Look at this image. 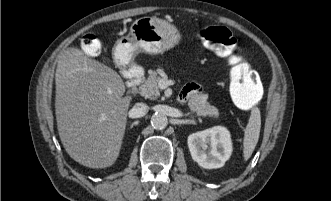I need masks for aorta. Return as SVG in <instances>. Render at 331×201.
<instances>
[{
    "mask_svg": "<svg viewBox=\"0 0 331 201\" xmlns=\"http://www.w3.org/2000/svg\"><path fill=\"white\" fill-rule=\"evenodd\" d=\"M151 124L156 129H164L168 125V118L163 113H155L151 117Z\"/></svg>",
    "mask_w": 331,
    "mask_h": 201,
    "instance_id": "762f6f07",
    "label": "aorta"
}]
</instances>
